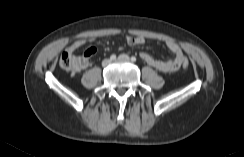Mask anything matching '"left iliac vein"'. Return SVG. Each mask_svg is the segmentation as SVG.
Masks as SVG:
<instances>
[{"instance_id":"obj_1","label":"left iliac vein","mask_w":244,"mask_h":157,"mask_svg":"<svg viewBox=\"0 0 244 157\" xmlns=\"http://www.w3.org/2000/svg\"><path fill=\"white\" fill-rule=\"evenodd\" d=\"M118 61H129L130 58L128 55L126 54H121L118 58H117Z\"/></svg>"}]
</instances>
